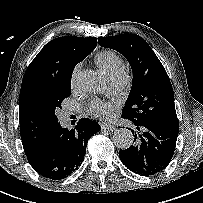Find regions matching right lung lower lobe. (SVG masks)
<instances>
[{
	"mask_svg": "<svg viewBox=\"0 0 203 203\" xmlns=\"http://www.w3.org/2000/svg\"><path fill=\"white\" fill-rule=\"evenodd\" d=\"M100 130L97 122L86 118L80 119L71 130L58 123L45 141L25 151L28 162L45 178H66L81 165L88 140Z\"/></svg>",
	"mask_w": 203,
	"mask_h": 203,
	"instance_id": "right-lung-lower-lobe-1",
	"label": "right lung lower lobe"
}]
</instances>
